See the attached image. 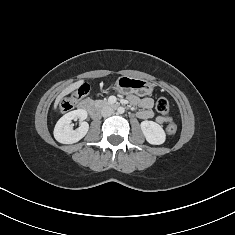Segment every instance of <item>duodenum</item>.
Instances as JSON below:
<instances>
[{"mask_svg": "<svg viewBox=\"0 0 235 235\" xmlns=\"http://www.w3.org/2000/svg\"><path fill=\"white\" fill-rule=\"evenodd\" d=\"M79 108L81 110L87 111L92 116H96L98 114V108L94 106V104L90 100H84L80 103Z\"/></svg>", "mask_w": 235, "mask_h": 235, "instance_id": "obj_1", "label": "duodenum"}]
</instances>
